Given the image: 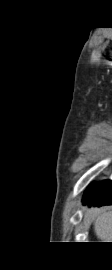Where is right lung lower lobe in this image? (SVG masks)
Listing matches in <instances>:
<instances>
[{
    "label": "right lung lower lobe",
    "instance_id": "right-lung-lower-lobe-1",
    "mask_svg": "<svg viewBox=\"0 0 112 270\" xmlns=\"http://www.w3.org/2000/svg\"><path fill=\"white\" fill-rule=\"evenodd\" d=\"M83 204L93 206L112 205V181H102L91 185L86 191Z\"/></svg>",
    "mask_w": 112,
    "mask_h": 270
}]
</instances>
